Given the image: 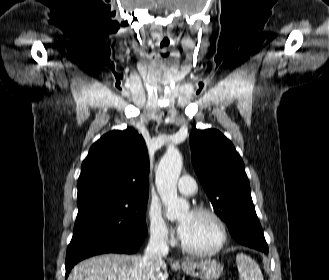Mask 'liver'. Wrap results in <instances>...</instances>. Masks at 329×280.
<instances>
[{"label": "liver", "mask_w": 329, "mask_h": 280, "mask_svg": "<svg viewBox=\"0 0 329 280\" xmlns=\"http://www.w3.org/2000/svg\"><path fill=\"white\" fill-rule=\"evenodd\" d=\"M167 277L164 262L147 267L138 255L106 254L77 264L68 280H166Z\"/></svg>", "instance_id": "obj_1"}]
</instances>
